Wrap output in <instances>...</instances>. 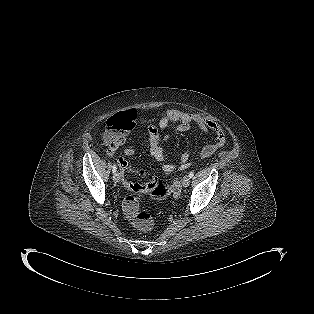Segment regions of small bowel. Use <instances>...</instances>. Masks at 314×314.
<instances>
[{"label": "small bowel", "instance_id": "obj_1", "mask_svg": "<svg viewBox=\"0 0 314 314\" xmlns=\"http://www.w3.org/2000/svg\"><path fill=\"white\" fill-rule=\"evenodd\" d=\"M176 123L172 132H168L163 136L160 135V131L166 130L170 124ZM196 125L205 134H213V140L205 145L201 150L202 158L211 157L219 148L226 143V132L224 128L217 122L194 112H183L175 109L167 110L160 119L153 124H150L147 128V139L149 142V149L151 155L158 161L163 162L161 169L165 173L172 172L176 165L171 162H166V155L163 148V143L167 142L173 133L188 132L192 125ZM126 141V136L122 139L114 142L107 143V155L112 157L118 147ZM135 153L134 145H128L124 154L127 157L133 156ZM117 162L122 171L134 173L135 169L127 162L123 156L117 158ZM189 153L184 152L179 161V167L185 169L189 167Z\"/></svg>", "mask_w": 314, "mask_h": 314}]
</instances>
